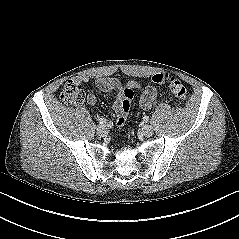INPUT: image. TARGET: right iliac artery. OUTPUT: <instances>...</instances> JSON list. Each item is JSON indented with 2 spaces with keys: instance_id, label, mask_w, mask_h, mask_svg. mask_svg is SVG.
Listing matches in <instances>:
<instances>
[{
  "instance_id": "obj_1",
  "label": "right iliac artery",
  "mask_w": 239,
  "mask_h": 239,
  "mask_svg": "<svg viewBox=\"0 0 239 239\" xmlns=\"http://www.w3.org/2000/svg\"><path fill=\"white\" fill-rule=\"evenodd\" d=\"M98 122H99V124H101V125H105V124L107 123V120L104 119V118H100V119H98Z\"/></svg>"
}]
</instances>
